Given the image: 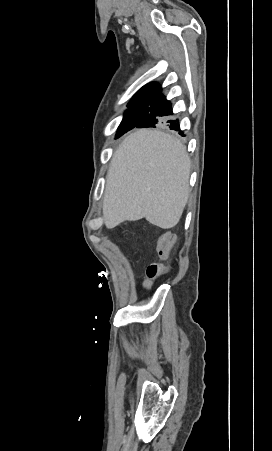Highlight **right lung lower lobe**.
I'll use <instances>...</instances> for the list:
<instances>
[{
    "label": "right lung lower lobe",
    "mask_w": 272,
    "mask_h": 451,
    "mask_svg": "<svg viewBox=\"0 0 272 451\" xmlns=\"http://www.w3.org/2000/svg\"><path fill=\"white\" fill-rule=\"evenodd\" d=\"M172 108L169 101L165 99L163 95L160 93L153 99L150 105L149 113L138 123L130 126L123 132H121L118 136L123 133L131 130L134 127H155L158 123H167L170 129L178 130L181 135L183 132L180 131L179 120H167L165 116L172 115Z\"/></svg>",
    "instance_id": "right-lung-lower-lobe-1"
}]
</instances>
